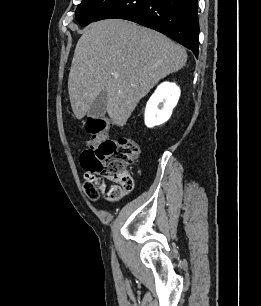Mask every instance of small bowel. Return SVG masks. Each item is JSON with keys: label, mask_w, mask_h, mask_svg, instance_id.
<instances>
[{"label": "small bowel", "mask_w": 261, "mask_h": 306, "mask_svg": "<svg viewBox=\"0 0 261 306\" xmlns=\"http://www.w3.org/2000/svg\"><path fill=\"white\" fill-rule=\"evenodd\" d=\"M128 190L126 189H120L111 199H120L123 198L125 195H127Z\"/></svg>", "instance_id": "c3829d8e"}]
</instances>
